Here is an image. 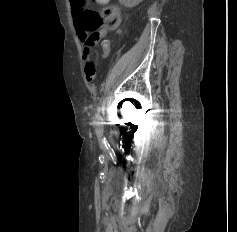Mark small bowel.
Listing matches in <instances>:
<instances>
[{
	"label": "small bowel",
	"instance_id": "1",
	"mask_svg": "<svg viewBox=\"0 0 237 232\" xmlns=\"http://www.w3.org/2000/svg\"><path fill=\"white\" fill-rule=\"evenodd\" d=\"M109 0H95L98 4H106ZM114 10V15L108 19H105L103 23L100 35H104L107 31L115 29L120 22V10L118 7H111ZM81 41L85 43L83 53H84V74L87 81H92L95 76L96 66L92 58L93 44L88 43L86 40L80 37ZM110 51L109 45H103V55L107 56Z\"/></svg>",
	"mask_w": 237,
	"mask_h": 232
}]
</instances>
